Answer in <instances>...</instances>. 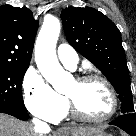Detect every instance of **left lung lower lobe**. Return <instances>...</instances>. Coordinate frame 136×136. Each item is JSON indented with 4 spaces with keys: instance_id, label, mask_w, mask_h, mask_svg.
I'll use <instances>...</instances> for the list:
<instances>
[{
    "instance_id": "0a47b994",
    "label": "left lung lower lobe",
    "mask_w": 136,
    "mask_h": 136,
    "mask_svg": "<svg viewBox=\"0 0 136 136\" xmlns=\"http://www.w3.org/2000/svg\"><path fill=\"white\" fill-rule=\"evenodd\" d=\"M109 124L118 126L131 136H136V114L134 113L122 114Z\"/></svg>"
}]
</instances>
